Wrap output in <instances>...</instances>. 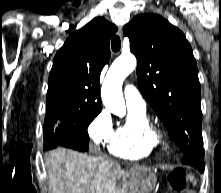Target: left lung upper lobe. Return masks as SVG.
<instances>
[{
	"mask_svg": "<svg viewBox=\"0 0 221 193\" xmlns=\"http://www.w3.org/2000/svg\"><path fill=\"white\" fill-rule=\"evenodd\" d=\"M137 57V82L183 154L203 147L200 83L184 34L157 14L123 28Z\"/></svg>",
	"mask_w": 221,
	"mask_h": 193,
	"instance_id": "1",
	"label": "left lung upper lobe"
}]
</instances>
